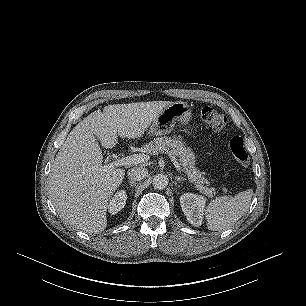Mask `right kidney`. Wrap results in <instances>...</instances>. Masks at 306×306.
I'll return each mask as SVG.
<instances>
[{"mask_svg": "<svg viewBox=\"0 0 306 306\" xmlns=\"http://www.w3.org/2000/svg\"><path fill=\"white\" fill-rule=\"evenodd\" d=\"M127 194L124 190L118 191L110 200L108 209L109 213L115 215L122 210L126 204Z\"/></svg>", "mask_w": 306, "mask_h": 306, "instance_id": "obj_1", "label": "right kidney"}]
</instances>
